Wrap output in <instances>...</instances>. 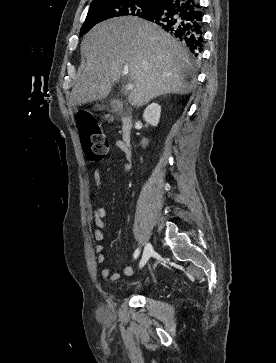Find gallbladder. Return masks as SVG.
<instances>
[{"mask_svg": "<svg viewBox=\"0 0 276 363\" xmlns=\"http://www.w3.org/2000/svg\"><path fill=\"white\" fill-rule=\"evenodd\" d=\"M110 106H111L112 110L118 111V110L121 109L122 102L120 100H117V99H112L111 103H110Z\"/></svg>", "mask_w": 276, "mask_h": 363, "instance_id": "bac80fb5", "label": "gallbladder"}]
</instances>
